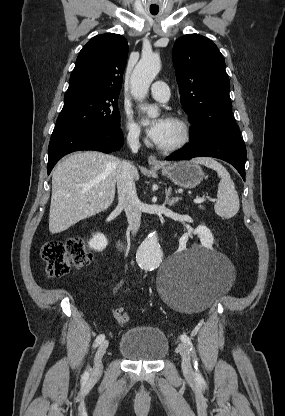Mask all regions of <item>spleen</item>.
Returning <instances> with one entry per match:
<instances>
[{
	"label": "spleen",
	"mask_w": 285,
	"mask_h": 416,
	"mask_svg": "<svg viewBox=\"0 0 285 416\" xmlns=\"http://www.w3.org/2000/svg\"><path fill=\"white\" fill-rule=\"evenodd\" d=\"M191 162H194V164H202L206 168L215 170L220 178L217 192L218 200L214 208L217 216H220V218H233V216H236L240 208L239 196L229 172L219 162H216L214 158H193Z\"/></svg>",
	"instance_id": "3e777b00"
}]
</instances>
